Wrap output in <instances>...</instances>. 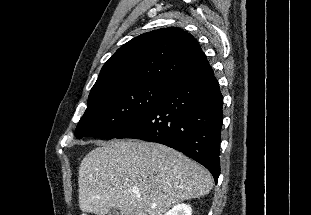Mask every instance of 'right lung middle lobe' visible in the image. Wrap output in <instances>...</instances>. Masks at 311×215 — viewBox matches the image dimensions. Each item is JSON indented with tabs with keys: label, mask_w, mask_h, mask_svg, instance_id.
I'll list each match as a JSON object with an SVG mask.
<instances>
[{
	"label": "right lung middle lobe",
	"mask_w": 311,
	"mask_h": 215,
	"mask_svg": "<svg viewBox=\"0 0 311 215\" xmlns=\"http://www.w3.org/2000/svg\"><path fill=\"white\" fill-rule=\"evenodd\" d=\"M167 84L113 86L89 95L75 136L112 139L146 116L161 100Z\"/></svg>",
	"instance_id": "1"
}]
</instances>
